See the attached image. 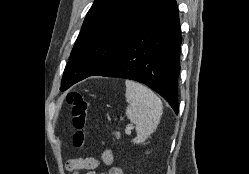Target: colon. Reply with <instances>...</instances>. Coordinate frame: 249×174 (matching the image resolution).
I'll list each match as a JSON object with an SVG mask.
<instances>
[{"mask_svg":"<svg viewBox=\"0 0 249 174\" xmlns=\"http://www.w3.org/2000/svg\"><path fill=\"white\" fill-rule=\"evenodd\" d=\"M67 102L72 108L73 125V145L76 148H83L87 135L88 103L85 96L78 91L70 92L67 95Z\"/></svg>","mask_w":249,"mask_h":174,"instance_id":"obj_1","label":"colon"}]
</instances>
